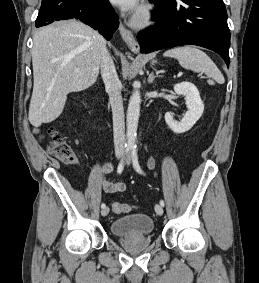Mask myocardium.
Returning <instances> with one entry per match:
<instances>
[{"label": "myocardium", "mask_w": 259, "mask_h": 283, "mask_svg": "<svg viewBox=\"0 0 259 283\" xmlns=\"http://www.w3.org/2000/svg\"><path fill=\"white\" fill-rule=\"evenodd\" d=\"M152 12L148 6H143L139 13L132 19L131 24L136 28H144L150 25Z\"/></svg>", "instance_id": "f54148a6"}]
</instances>
